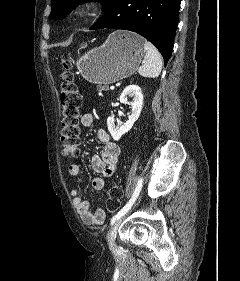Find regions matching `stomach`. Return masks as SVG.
Segmentation results:
<instances>
[{
    "label": "stomach",
    "instance_id": "stomach-1",
    "mask_svg": "<svg viewBox=\"0 0 240 281\" xmlns=\"http://www.w3.org/2000/svg\"><path fill=\"white\" fill-rule=\"evenodd\" d=\"M145 40L129 31L112 33L103 45L77 61L81 75L95 84H110L131 76L140 65Z\"/></svg>",
    "mask_w": 240,
    "mask_h": 281
}]
</instances>
